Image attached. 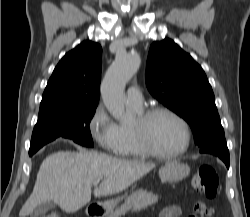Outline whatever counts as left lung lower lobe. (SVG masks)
Returning a JSON list of instances; mask_svg holds the SVG:
<instances>
[{
    "mask_svg": "<svg viewBox=\"0 0 250 217\" xmlns=\"http://www.w3.org/2000/svg\"><path fill=\"white\" fill-rule=\"evenodd\" d=\"M201 153L218 156L229 168V150L225 138H220L200 148Z\"/></svg>",
    "mask_w": 250,
    "mask_h": 217,
    "instance_id": "obj_1",
    "label": "left lung lower lobe"
}]
</instances>
